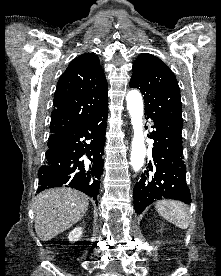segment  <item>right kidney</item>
Segmentation results:
<instances>
[{
    "mask_svg": "<svg viewBox=\"0 0 221 276\" xmlns=\"http://www.w3.org/2000/svg\"><path fill=\"white\" fill-rule=\"evenodd\" d=\"M81 235H82V228L81 227H76L70 232V234L68 236V239H69L70 242H75V241L79 240Z\"/></svg>",
    "mask_w": 221,
    "mask_h": 276,
    "instance_id": "right-kidney-1",
    "label": "right kidney"
}]
</instances>
